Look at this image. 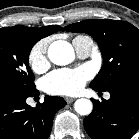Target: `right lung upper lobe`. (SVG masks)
<instances>
[{
  "mask_svg": "<svg viewBox=\"0 0 139 139\" xmlns=\"http://www.w3.org/2000/svg\"><path fill=\"white\" fill-rule=\"evenodd\" d=\"M5 29L16 30L23 33H28L34 35L38 39L49 36L57 31H64L60 26H45L41 28L36 27H25V26H13V27H3Z\"/></svg>",
  "mask_w": 139,
  "mask_h": 139,
  "instance_id": "right-lung-upper-lobe-1",
  "label": "right lung upper lobe"
}]
</instances>
